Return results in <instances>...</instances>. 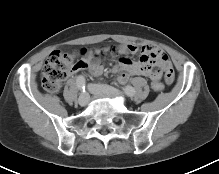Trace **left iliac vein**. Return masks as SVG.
<instances>
[{
  "label": "left iliac vein",
  "mask_w": 219,
  "mask_h": 174,
  "mask_svg": "<svg viewBox=\"0 0 219 174\" xmlns=\"http://www.w3.org/2000/svg\"><path fill=\"white\" fill-rule=\"evenodd\" d=\"M88 89L92 94L121 95V92L107 85L89 84Z\"/></svg>",
  "instance_id": "obj_1"
}]
</instances>
